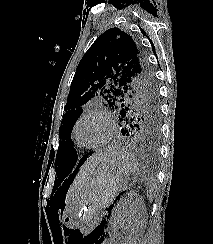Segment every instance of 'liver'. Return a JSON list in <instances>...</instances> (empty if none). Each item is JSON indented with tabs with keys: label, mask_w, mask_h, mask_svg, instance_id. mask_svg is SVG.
<instances>
[{
	"label": "liver",
	"mask_w": 213,
	"mask_h": 244,
	"mask_svg": "<svg viewBox=\"0 0 213 244\" xmlns=\"http://www.w3.org/2000/svg\"><path fill=\"white\" fill-rule=\"evenodd\" d=\"M108 156V153H96L92 155L82 166L80 171L78 172L74 183L71 185L69 193L67 195L66 204L68 205L69 202L74 197V194L76 193L77 189L84 183L87 176L92 173V171L96 168L97 164L104 159H106Z\"/></svg>",
	"instance_id": "1"
}]
</instances>
